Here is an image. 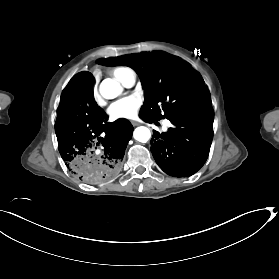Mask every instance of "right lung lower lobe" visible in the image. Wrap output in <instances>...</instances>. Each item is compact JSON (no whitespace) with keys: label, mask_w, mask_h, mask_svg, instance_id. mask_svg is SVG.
I'll use <instances>...</instances> for the list:
<instances>
[{"label":"right lung lower lobe","mask_w":279,"mask_h":279,"mask_svg":"<svg viewBox=\"0 0 279 279\" xmlns=\"http://www.w3.org/2000/svg\"><path fill=\"white\" fill-rule=\"evenodd\" d=\"M92 74H76L64 89L55 131L67 168L84 183L97 185L117 177L133 127L126 119L107 122L94 101Z\"/></svg>","instance_id":"right-lung-lower-lobe-1"}]
</instances>
